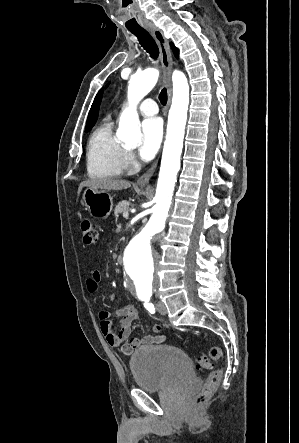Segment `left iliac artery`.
Here are the masks:
<instances>
[{
	"instance_id": "left-iliac-artery-1",
	"label": "left iliac artery",
	"mask_w": 299,
	"mask_h": 443,
	"mask_svg": "<svg viewBox=\"0 0 299 443\" xmlns=\"http://www.w3.org/2000/svg\"><path fill=\"white\" fill-rule=\"evenodd\" d=\"M144 307L150 312V313H155V307L154 305L150 302V299H144Z\"/></svg>"
}]
</instances>
